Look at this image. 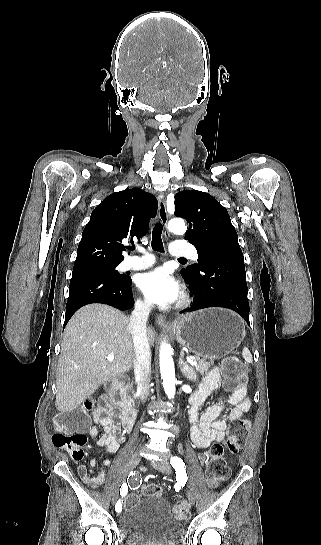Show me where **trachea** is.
<instances>
[{"label":"trachea","mask_w":321,"mask_h":545,"mask_svg":"<svg viewBox=\"0 0 321 545\" xmlns=\"http://www.w3.org/2000/svg\"><path fill=\"white\" fill-rule=\"evenodd\" d=\"M161 234H162V224L160 222H157L152 232V242H151V248L157 252L164 251ZM129 249L134 250L135 246L132 245L131 247H129ZM179 261L182 263L183 261H187V259L179 258Z\"/></svg>","instance_id":"trachea-1"}]
</instances>
